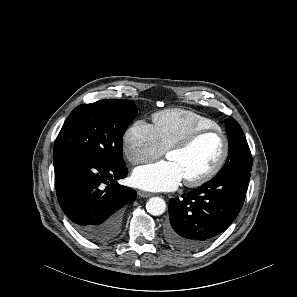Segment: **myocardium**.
I'll list each match as a JSON object with an SVG mask.
<instances>
[{
    "mask_svg": "<svg viewBox=\"0 0 297 297\" xmlns=\"http://www.w3.org/2000/svg\"><path fill=\"white\" fill-rule=\"evenodd\" d=\"M208 134H216L218 135L222 142H223V151L216 162V164L206 173H204L201 176H198L196 178L186 179L185 184L190 187L200 186L203 185L210 180H212L223 168L225 165L229 152H230V144L228 137L226 134L218 127H206V128H200L196 129L184 137L180 138L179 140L175 141L173 144L169 146V148L166 151V154L176 151V150H184L189 148L191 145H193L199 138L202 136L208 135Z\"/></svg>",
    "mask_w": 297,
    "mask_h": 297,
    "instance_id": "obj_1",
    "label": "myocardium"
}]
</instances>
